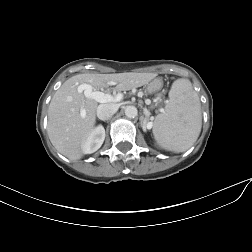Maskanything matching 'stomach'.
I'll return each mask as SVG.
<instances>
[{"label":"stomach","mask_w":252,"mask_h":252,"mask_svg":"<svg viewBox=\"0 0 252 252\" xmlns=\"http://www.w3.org/2000/svg\"><path fill=\"white\" fill-rule=\"evenodd\" d=\"M163 82L160 79H154L148 83L146 90L148 93L152 94L159 91L162 88Z\"/></svg>","instance_id":"0dacf381"}]
</instances>
